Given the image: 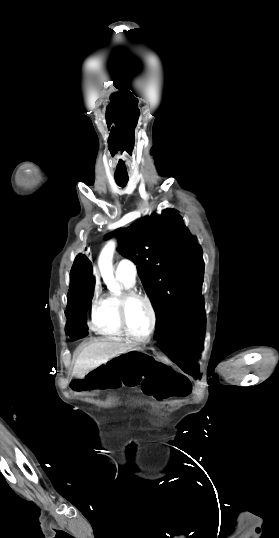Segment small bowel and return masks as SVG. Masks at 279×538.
Wrapping results in <instances>:
<instances>
[{"mask_svg":"<svg viewBox=\"0 0 279 538\" xmlns=\"http://www.w3.org/2000/svg\"><path fill=\"white\" fill-rule=\"evenodd\" d=\"M188 378L171 369H158L146 374L141 381L142 391L159 401L186 398L191 391Z\"/></svg>","mask_w":279,"mask_h":538,"instance_id":"1","label":"small bowel"}]
</instances>
